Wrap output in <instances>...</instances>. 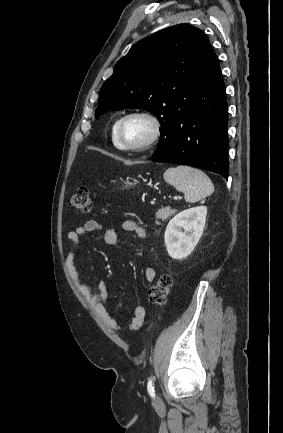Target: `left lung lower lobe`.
<instances>
[{
    "instance_id": "left-lung-lower-lobe-1",
    "label": "left lung lower lobe",
    "mask_w": 283,
    "mask_h": 433,
    "mask_svg": "<svg viewBox=\"0 0 283 433\" xmlns=\"http://www.w3.org/2000/svg\"><path fill=\"white\" fill-rule=\"evenodd\" d=\"M193 98L190 110L162 127L151 160L204 168L228 178L227 99L213 51L195 80Z\"/></svg>"
}]
</instances>
